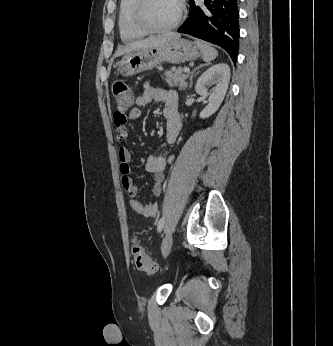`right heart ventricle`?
I'll return each mask as SVG.
<instances>
[{
	"label": "right heart ventricle",
	"mask_w": 333,
	"mask_h": 346,
	"mask_svg": "<svg viewBox=\"0 0 333 346\" xmlns=\"http://www.w3.org/2000/svg\"><path fill=\"white\" fill-rule=\"evenodd\" d=\"M137 0H120L117 26L119 36L125 43L141 39L146 32L139 28L134 20V8Z\"/></svg>",
	"instance_id": "obj_1"
}]
</instances>
